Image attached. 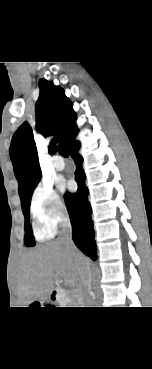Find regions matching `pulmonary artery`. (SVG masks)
Listing matches in <instances>:
<instances>
[{"instance_id": "e3ab8cb5", "label": "pulmonary artery", "mask_w": 152, "mask_h": 369, "mask_svg": "<svg viewBox=\"0 0 152 369\" xmlns=\"http://www.w3.org/2000/svg\"><path fill=\"white\" fill-rule=\"evenodd\" d=\"M52 164H53V167L56 171H62L65 168V163H64L63 159L60 156H55L53 158Z\"/></svg>"}]
</instances>
